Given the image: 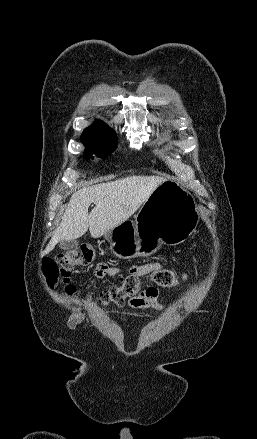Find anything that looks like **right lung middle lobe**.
<instances>
[{"mask_svg":"<svg viewBox=\"0 0 257 439\" xmlns=\"http://www.w3.org/2000/svg\"><path fill=\"white\" fill-rule=\"evenodd\" d=\"M82 143L87 147L86 153L95 150L101 157L109 155L117 146L115 132L103 122L97 121L82 134Z\"/></svg>","mask_w":257,"mask_h":439,"instance_id":"right-lung-middle-lobe-1","label":"right lung middle lobe"}]
</instances>
